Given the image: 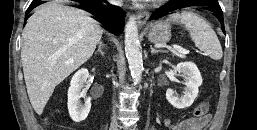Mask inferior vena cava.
<instances>
[{
	"label": "inferior vena cava",
	"mask_w": 257,
	"mask_h": 130,
	"mask_svg": "<svg viewBox=\"0 0 257 130\" xmlns=\"http://www.w3.org/2000/svg\"><path fill=\"white\" fill-rule=\"evenodd\" d=\"M117 3H120L119 1H117ZM113 117H112V121H111V125H110V130H117L118 124H117V120L115 117V110L113 109Z\"/></svg>",
	"instance_id": "602c4592"
}]
</instances>
